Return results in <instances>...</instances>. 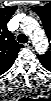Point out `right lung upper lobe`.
Listing matches in <instances>:
<instances>
[{"label":"right lung upper lobe","instance_id":"cb5924a9","mask_svg":"<svg viewBox=\"0 0 51 101\" xmlns=\"http://www.w3.org/2000/svg\"><path fill=\"white\" fill-rule=\"evenodd\" d=\"M16 9V6L0 9V74L11 68L20 48L23 47L15 41L12 33L7 29V23Z\"/></svg>","mask_w":51,"mask_h":101}]
</instances>
